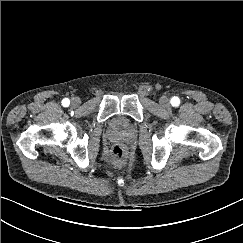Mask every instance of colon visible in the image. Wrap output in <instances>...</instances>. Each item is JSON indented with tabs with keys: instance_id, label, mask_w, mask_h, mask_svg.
Returning <instances> with one entry per match:
<instances>
[{
	"instance_id": "obj_1",
	"label": "colon",
	"mask_w": 243,
	"mask_h": 243,
	"mask_svg": "<svg viewBox=\"0 0 243 243\" xmlns=\"http://www.w3.org/2000/svg\"><path fill=\"white\" fill-rule=\"evenodd\" d=\"M109 159L112 165L120 166L125 160V150L120 145H115L109 152Z\"/></svg>"
}]
</instances>
